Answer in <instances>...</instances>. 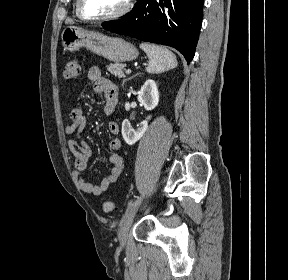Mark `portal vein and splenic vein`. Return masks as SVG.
Segmentation results:
<instances>
[{
    "label": "portal vein and splenic vein",
    "instance_id": "obj_1",
    "mask_svg": "<svg viewBox=\"0 0 288 280\" xmlns=\"http://www.w3.org/2000/svg\"><path fill=\"white\" fill-rule=\"evenodd\" d=\"M125 73H126V74H130V73H131V70H130V69H127V70L125 71Z\"/></svg>",
    "mask_w": 288,
    "mask_h": 280
}]
</instances>
